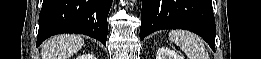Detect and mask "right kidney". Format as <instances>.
<instances>
[{
    "label": "right kidney",
    "instance_id": "ca27d5eb",
    "mask_svg": "<svg viewBox=\"0 0 261 59\" xmlns=\"http://www.w3.org/2000/svg\"><path fill=\"white\" fill-rule=\"evenodd\" d=\"M78 59H95V57L90 54H83L82 56H79Z\"/></svg>",
    "mask_w": 261,
    "mask_h": 59
}]
</instances>
